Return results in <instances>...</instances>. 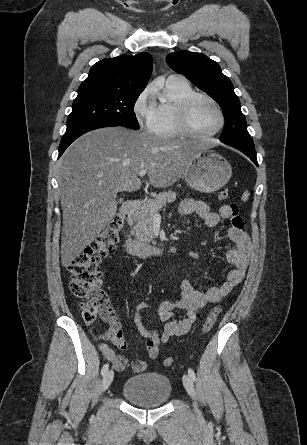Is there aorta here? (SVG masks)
<instances>
[{
  "label": "aorta",
  "mask_w": 307,
  "mask_h": 445,
  "mask_svg": "<svg viewBox=\"0 0 307 445\" xmlns=\"http://www.w3.org/2000/svg\"><path fill=\"white\" fill-rule=\"evenodd\" d=\"M160 102H166V98H161Z\"/></svg>",
  "instance_id": "1"
}]
</instances>
